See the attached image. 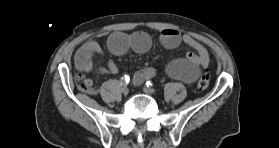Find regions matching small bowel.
Here are the masks:
<instances>
[{
	"instance_id": "small-bowel-1",
	"label": "small bowel",
	"mask_w": 279,
	"mask_h": 148,
	"mask_svg": "<svg viewBox=\"0 0 279 148\" xmlns=\"http://www.w3.org/2000/svg\"><path fill=\"white\" fill-rule=\"evenodd\" d=\"M161 43L169 49L176 48L184 43L194 51H189L183 58L169 62L165 68L166 73L175 79L193 82L201 72L202 68L208 66L210 55L208 50L190 34H181L176 29L167 28L160 35ZM151 37L145 31L133 33L113 32L107 40L108 49L114 55L120 56L132 49L137 53H145L151 47ZM101 52L96 41H88L81 45L75 55L76 67L79 71L91 73L96 70L92 63V57ZM100 74L117 73L118 68L113 61H109L107 69H97ZM156 71L153 67H145L137 71L133 76L134 85H140L146 80L154 77Z\"/></svg>"
}]
</instances>
